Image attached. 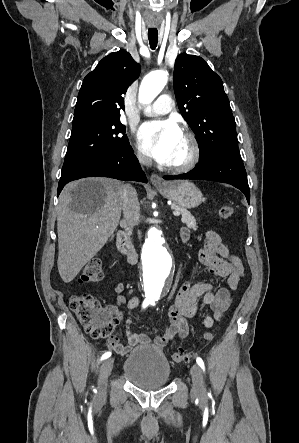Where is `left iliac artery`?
Instances as JSON below:
<instances>
[{
    "instance_id": "1",
    "label": "left iliac artery",
    "mask_w": 299,
    "mask_h": 443,
    "mask_svg": "<svg viewBox=\"0 0 299 443\" xmlns=\"http://www.w3.org/2000/svg\"><path fill=\"white\" fill-rule=\"evenodd\" d=\"M155 301H157V299L156 300H151L150 301V304L152 305V306H154L155 305ZM196 362H197V364L200 366V368L203 370V372L205 371V365H204V362H203V360L200 358V357H197L196 358Z\"/></svg>"
}]
</instances>
